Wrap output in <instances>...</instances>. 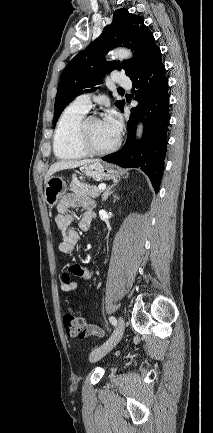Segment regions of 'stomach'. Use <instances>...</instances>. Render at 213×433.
<instances>
[{
	"label": "stomach",
	"mask_w": 213,
	"mask_h": 433,
	"mask_svg": "<svg viewBox=\"0 0 213 433\" xmlns=\"http://www.w3.org/2000/svg\"><path fill=\"white\" fill-rule=\"evenodd\" d=\"M83 173L95 180H108L117 177L116 170L109 164L95 161L82 167ZM67 192V184L63 177H51L46 183L44 200L49 206L56 205Z\"/></svg>",
	"instance_id": "stomach-1"
}]
</instances>
